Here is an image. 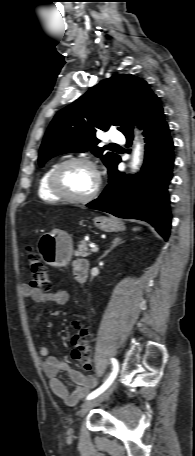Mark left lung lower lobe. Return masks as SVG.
Masks as SVG:
<instances>
[{
	"label": "left lung lower lobe",
	"instance_id": "left-lung-lower-lobe-1",
	"mask_svg": "<svg viewBox=\"0 0 195 456\" xmlns=\"http://www.w3.org/2000/svg\"><path fill=\"white\" fill-rule=\"evenodd\" d=\"M133 125L143 128L145 136L142 171L137 176L120 173L117 170L121 161L118 157L108 172L109 184L97 199L86 206L120 218L147 221L168 239L171 214L167 186L172 178L174 146L157 96L144 105L124 133L128 144L133 139Z\"/></svg>",
	"mask_w": 195,
	"mask_h": 456
}]
</instances>
